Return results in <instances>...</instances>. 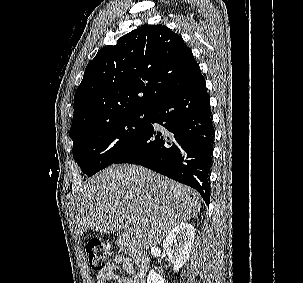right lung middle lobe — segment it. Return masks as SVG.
Wrapping results in <instances>:
<instances>
[{"instance_id":"1","label":"right lung middle lobe","mask_w":303,"mask_h":283,"mask_svg":"<svg viewBox=\"0 0 303 283\" xmlns=\"http://www.w3.org/2000/svg\"><path fill=\"white\" fill-rule=\"evenodd\" d=\"M149 111L130 112L71 134L73 157L92 176L123 156L145 132Z\"/></svg>"}]
</instances>
